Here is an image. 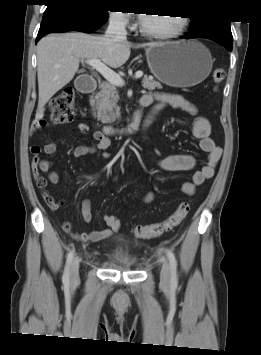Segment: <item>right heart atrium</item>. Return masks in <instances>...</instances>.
<instances>
[{
    "label": "right heart atrium",
    "mask_w": 261,
    "mask_h": 355,
    "mask_svg": "<svg viewBox=\"0 0 261 355\" xmlns=\"http://www.w3.org/2000/svg\"><path fill=\"white\" fill-rule=\"evenodd\" d=\"M109 21L119 29H129L132 26L130 14L122 10L111 11L109 13Z\"/></svg>",
    "instance_id": "right-heart-atrium-1"
}]
</instances>
